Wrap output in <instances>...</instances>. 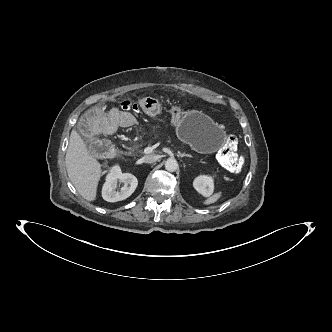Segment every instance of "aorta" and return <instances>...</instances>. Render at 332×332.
Segmentation results:
<instances>
[{
  "label": "aorta",
  "instance_id": "aorta-1",
  "mask_svg": "<svg viewBox=\"0 0 332 332\" xmlns=\"http://www.w3.org/2000/svg\"><path fill=\"white\" fill-rule=\"evenodd\" d=\"M165 169L169 172H175L178 169V162L175 158H168L165 162Z\"/></svg>",
  "mask_w": 332,
  "mask_h": 332
}]
</instances>
